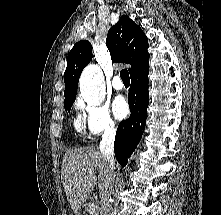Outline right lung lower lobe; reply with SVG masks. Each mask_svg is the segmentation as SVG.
Returning <instances> with one entry per match:
<instances>
[{
    "mask_svg": "<svg viewBox=\"0 0 221 215\" xmlns=\"http://www.w3.org/2000/svg\"><path fill=\"white\" fill-rule=\"evenodd\" d=\"M148 72L147 63L130 75L128 103L131 114L119 124L114 142L115 157L122 166L126 165L127 157H130L137 147L143 134L149 96Z\"/></svg>",
    "mask_w": 221,
    "mask_h": 215,
    "instance_id": "obj_1",
    "label": "right lung lower lobe"
}]
</instances>
